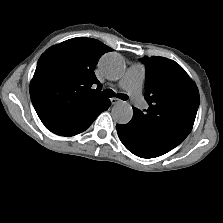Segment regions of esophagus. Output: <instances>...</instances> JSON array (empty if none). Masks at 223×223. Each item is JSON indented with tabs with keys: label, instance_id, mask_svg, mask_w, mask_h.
Here are the masks:
<instances>
[{
	"label": "esophagus",
	"instance_id": "34e87169",
	"mask_svg": "<svg viewBox=\"0 0 223 223\" xmlns=\"http://www.w3.org/2000/svg\"><path fill=\"white\" fill-rule=\"evenodd\" d=\"M111 104L112 105H115V104H117V103H120L121 102V100L120 99H118V98H116V97H113V98H111Z\"/></svg>",
	"mask_w": 223,
	"mask_h": 223
}]
</instances>
